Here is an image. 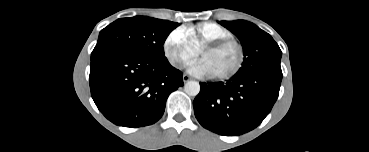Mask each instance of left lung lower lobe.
Segmentation results:
<instances>
[{
  "instance_id": "0a47b994",
  "label": "left lung lower lobe",
  "mask_w": 369,
  "mask_h": 152,
  "mask_svg": "<svg viewBox=\"0 0 369 152\" xmlns=\"http://www.w3.org/2000/svg\"><path fill=\"white\" fill-rule=\"evenodd\" d=\"M282 73L235 75L224 82L200 83L194 99L198 122L225 136H237L256 128L271 111L279 95Z\"/></svg>"
}]
</instances>
